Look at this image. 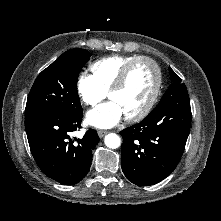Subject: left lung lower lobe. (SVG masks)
<instances>
[{"mask_svg": "<svg viewBox=\"0 0 221 221\" xmlns=\"http://www.w3.org/2000/svg\"><path fill=\"white\" fill-rule=\"evenodd\" d=\"M191 116L188 95L166 93L145 119L120 132L122 171L130 182L153 185L173 172L184 152Z\"/></svg>", "mask_w": 221, "mask_h": 221, "instance_id": "obj_1", "label": "left lung lower lobe"}]
</instances>
